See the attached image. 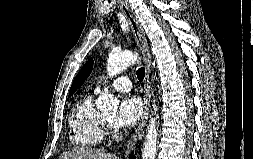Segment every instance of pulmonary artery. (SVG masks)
Listing matches in <instances>:
<instances>
[{"label":"pulmonary artery","mask_w":253,"mask_h":159,"mask_svg":"<svg viewBox=\"0 0 253 159\" xmlns=\"http://www.w3.org/2000/svg\"><path fill=\"white\" fill-rule=\"evenodd\" d=\"M110 86L119 92H128L132 88V83L128 77L121 76V77L115 78L111 82ZM100 90H101V88L97 87L94 92L98 93V92H100Z\"/></svg>","instance_id":"obj_1"}]
</instances>
